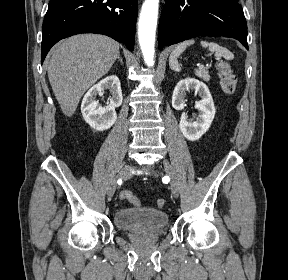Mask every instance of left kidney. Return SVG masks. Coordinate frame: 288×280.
Segmentation results:
<instances>
[{
    "label": "left kidney",
    "mask_w": 288,
    "mask_h": 280,
    "mask_svg": "<svg viewBox=\"0 0 288 280\" xmlns=\"http://www.w3.org/2000/svg\"><path fill=\"white\" fill-rule=\"evenodd\" d=\"M195 91L201 100L195 103L198 115L193 119H188L184 112L181 115L179 128L183 136L196 141L209 129L215 116V107L208 87L197 79L186 78L177 83L172 95V106L176 110H183L186 106V94Z\"/></svg>",
    "instance_id": "5707ae66"
}]
</instances>
